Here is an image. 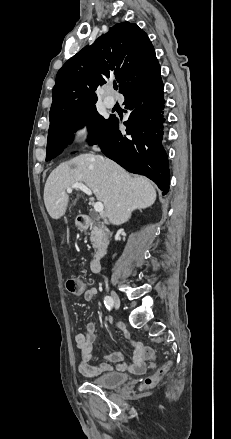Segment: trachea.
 Listing matches in <instances>:
<instances>
[{
  "label": "trachea",
  "mask_w": 231,
  "mask_h": 439,
  "mask_svg": "<svg viewBox=\"0 0 231 439\" xmlns=\"http://www.w3.org/2000/svg\"><path fill=\"white\" fill-rule=\"evenodd\" d=\"M114 89H115V90H117V89H118V86H117L116 84L114 85Z\"/></svg>",
  "instance_id": "obj_1"
}]
</instances>
